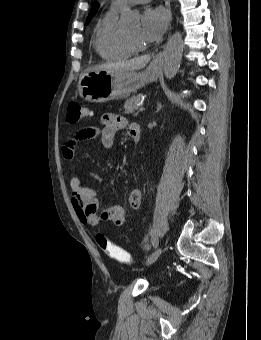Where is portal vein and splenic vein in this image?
<instances>
[{"instance_id":"1","label":"portal vein and splenic vein","mask_w":261,"mask_h":340,"mask_svg":"<svg viewBox=\"0 0 261 340\" xmlns=\"http://www.w3.org/2000/svg\"><path fill=\"white\" fill-rule=\"evenodd\" d=\"M139 106H140V107H139V111H140V112H143V111L145 110V107H144L143 105H140V104H139Z\"/></svg>"}]
</instances>
